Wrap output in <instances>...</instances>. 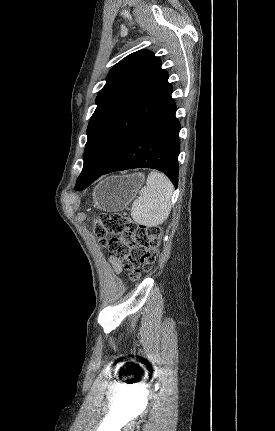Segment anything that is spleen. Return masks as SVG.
I'll return each instance as SVG.
<instances>
[{"mask_svg": "<svg viewBox=\"0 0 275 431\" xmlns=\"http://www.w3.org/2000/svg\"><path fill=\"white\" fill-rule=\"evenodd\" d=\"M173 185L162 173L152 171L146 186L141 188L139 197L131 207V216L135 222L145 226H158L167 220L171 212Z\"/></svg>", "mask_w": 275, "mask_h": 431, "instance_id": "1", "label": "spleen"}]
</instances>
